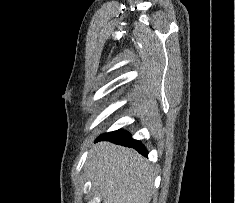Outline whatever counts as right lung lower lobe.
Returning a JSON list of instances; mask_svg holds the SVG:
<instances>
[{"label": "right lung lower lobe", "mask_w": 235, "mask_h": 203, "mask_svg": "<svg viewBox=\"0 0 235 203\" xmlns=\"http://www.w3.org/2000/svg\"><path fill=\"white\" fill-rule=\"evenodd\" d=\"M98 140H106L111 141L115 144H120L127 147H132L136 149L140 154L147 156V150L144 145L138 141L134 140L130 137V133L124 130H117L109 133H105L101 135Z\"/></svg>", "instance_id": "right-lung-lower-lobe-1"}]
</instances>
